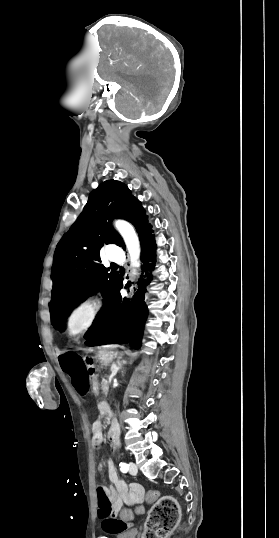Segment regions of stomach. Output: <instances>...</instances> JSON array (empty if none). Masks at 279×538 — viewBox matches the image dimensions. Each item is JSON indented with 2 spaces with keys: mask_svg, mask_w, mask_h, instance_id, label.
Masks as SVG:
<instances>
[{
  "mask_svg": "<svg viewBox=\"0 0 279 538\" xmlns=\"http://www.w3.org/2000/svg\"><path fill=\"white\" fill-rule=\"evenodd\" d=\"M116 356L117 354H114V352L100 353L98 360L102 366H109V364L114 363ZM92 390L94 391V394H99V387L97 385H94Z\"/></svg>",
  "mask_w": 279,
  "mask_h": 538,
  "instance_id": "obj_1",
  "label": "stomach"
}]
</instances>
